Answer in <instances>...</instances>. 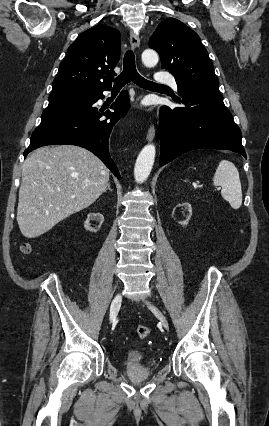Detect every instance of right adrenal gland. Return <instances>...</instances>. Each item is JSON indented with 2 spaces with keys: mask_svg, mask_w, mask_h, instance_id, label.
<instances>
[{
  "mask_svg": "<svg viewBox=\"0 0 269 426\" xmlns=\"http://www.w3.org/2000/svg\"><path fill=\"white\" fill-rule=\"evenodd\" d=\"M107 190H109V191H111V192H112V189L110 188V183L107 185V188H106L105 192H106Z\"/></svg>",
  "mask_w": 269,
  "mask_h": 426,
  "instance_id": "obj_1",
  "label": "right adrenal gland"
}]
</instances>
